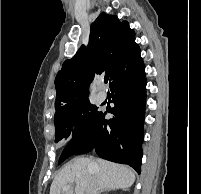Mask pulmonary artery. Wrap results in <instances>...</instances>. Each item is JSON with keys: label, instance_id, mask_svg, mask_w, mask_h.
<instances>
[{"label": "pulmonary artery", "instance_id": "obj_1", "mask_svg": "<svg viewBox=\"0 0 201 194\" xmlns=\"http://www.w3.org/2000/svg\"><path fill=\"white\" fill-rule=\"evenodd\" d=\"M100 86L102 87V83L100 84ZM107 98V94L104 90H101L97 96V99L99 102H104Z\"/></svg>", "mask_w": 201, "mask_h": 194}]
</instances>
